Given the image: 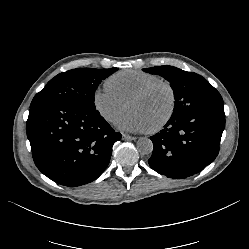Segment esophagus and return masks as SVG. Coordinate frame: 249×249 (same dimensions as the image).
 <instances>
[{"label": "esophagus", "mask_w": 249, "mask_h": 249, "mask_svg": "<svg viewBox=\"0 0 249 249\" xmlns=\"http://www.w3.org/2000/svg\"><path fill=\"white\" fill-rule=\"evenodd\" d=\"M122 139H123V140H126V141H133V140H136V137H134V136H129V135H127V134H123V135H122Z\"/></svg>", "instance_id": "34e87169"}]
</instances>
